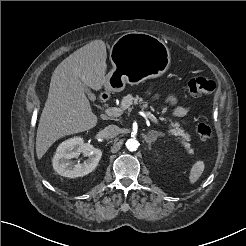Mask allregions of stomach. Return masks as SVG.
Here are the masks:
<instances>
[{"mask_svg": "<svg viewBox=\"0 0 246 246\" xmlns=\"http://www.w3.org/2000/svg\"><path fill=\"white\" fill-rule=\"evenodd\" d=\"M110 60L113 68L106 76L105 87L119 92L126 83L137 84L163 75L170 65V53L159 38L143 32H129L113 44Z\"/></svg>", "mask_w": 246, "mask_h": 246, "instance_id": "0dacf381", "label": "stomach"}]
</instances>
